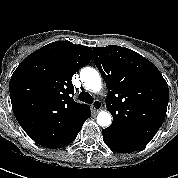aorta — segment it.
Instances as JSON below:
<instances>
[{
	"label": "aorta",
	"instance_id": "1",
	"mask_svg": "<svg viewBox=\"0 0 178 178\" xmlns=\"http://www.w3.org/2000/svg\"><path fill=\"white\" fill-rule=\"evenodd\" d=\"M80 79L83 85L93 92H99L102 88L101 77L94 68L84 67L80 72ZM111 118L109 112L100 111L97 115V123L102 127H108L111 124Z\"/></svg>",
	"mask_w": 178,
	"mask_h": 178
}]
</instances>
